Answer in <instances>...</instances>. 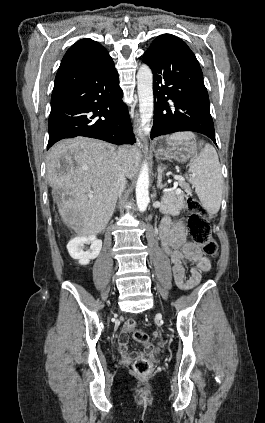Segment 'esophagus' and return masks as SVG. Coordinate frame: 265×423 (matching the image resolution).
<instances>
[{
	"instance_id": "obj_1",
	"label": "esophagus",
	"mask_w": 265,
	"mask_h": 423,
	"mask_svg": "<svg viewBox=\"0 0 265 423\" xmlns=\"http://www.w3.org/2000/svg\"><path fill=\"white\" fill-rule=\"evenodd\" d=\"M134 133L138 141L143 139V131L141 126V119L138 113H135L133 118Z\"/></svg>"
}]
</instances>
